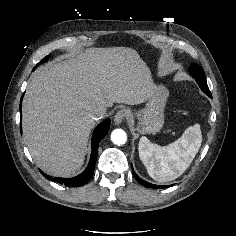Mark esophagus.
<instances>
[{"mask_svg": "<svg viewBox=\"0 0 236 236\" xmlns=\"http://www.w3.org/2000/svg\"><path fill=\"white\" fill-rule=\"evenodd\" d=\"M129 115V111L125 108H122L117 111V113L114 116V122L116 125L121 124Z\"/></svg>", "mask_w": 236, "mask_h": 236, "instance_id": "esophagus-1", "label": "esophagus"}]
</instances>
